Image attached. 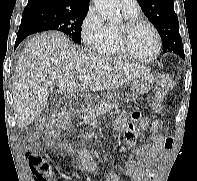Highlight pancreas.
<instances>
[{
  "instance_id": "1",
  "label": "pancreas",
  "mask_w": 197,
  "mask_h": 181,
  "mask_svg": "<svg viewBox=\"0 0 197 181\" xmlns=\"http://www.w3.org/2000/svg\"><path fill=\"white\" fill-rule=\"evenodd\" d=\"M120 102L117 99H110L99 101L97 97L94 103L88 104L85 108L82 116V120L79 122L80 125H87L94 119L104 116L106 113L111 112L113 109H118Z\"/></svg>"
}]
</instances>
